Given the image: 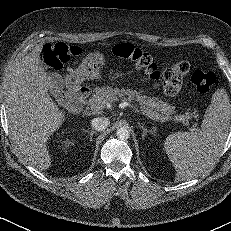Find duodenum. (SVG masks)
Masks as SVG:
<instances>
[{"label":"duodenum","instance_id":"410a0bca","mask_svg":"<svg viewBox=\"0 0 231 231\" xmlns=\"http://www.w3.org/2000/svg\"><path fill=\"white\" fill-rule=\"evenodd\" d=\"M91 94V88L86 84L73 85L66 89L62 103L68 108L79 110Z\"/></svg>","mask_w":231,"mask_h":231}]
</instances>
